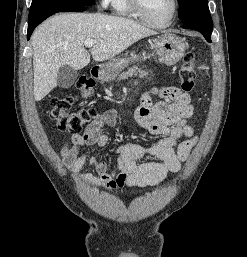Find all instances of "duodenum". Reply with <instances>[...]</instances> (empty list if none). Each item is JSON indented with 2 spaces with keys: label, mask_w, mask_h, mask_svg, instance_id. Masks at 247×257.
<instances>
[{
  "label": "duodenum",
  "mask_w": 247,
  "mask_h": 257,
  "mask_svg": "<svg viewBox=\"0 0 247 257\" xmlns=\"http://www.w3.org/2000/svg\"><path fill=\"white\" fill-rule=\"evenodd\" d=\"M92 75L94 78L100 79L102 77V70L98 66H95L92 69Z\"/></svg>",
  "instance_id": "1"
}]
</instances>
